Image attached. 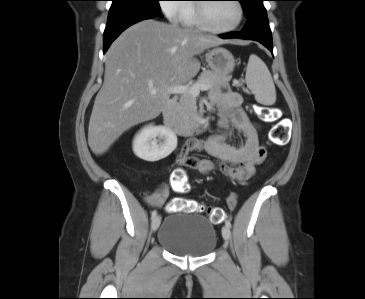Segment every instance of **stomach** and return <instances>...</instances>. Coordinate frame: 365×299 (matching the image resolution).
I'll return each mask as SVG.
<instances>
[{"instance_id":"0dacf381","label":"stomach","mask_w":365,"mask_h":299,"mask_svg":"<svg viewBox=\"0 0 365 299\" xmlns=\"http://www.w3.org/2000/svg\"><path fill=\"white\" fill-rule=\"evenodd\" d=\"M206 61L210 69L218 74L228 76L235 67V59L225 48H214L206 53Z\"/></svg>"}]
</instances>
